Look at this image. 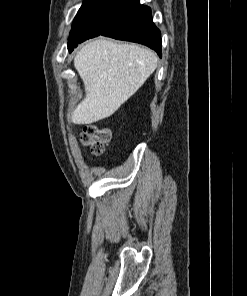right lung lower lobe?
Here are the masks:
<instances>
[{
    "label": "right lung lower lobe",
    "instance_id": "1",
    "mask_svg": "<svg viewBox=\"0 0 247 296\" xmlns=\"http://www.w3.org/2000/svg\"><path fill=\"white\" fill-rule=\"evenodd\" d=\"M87 28L83 41L104 35L146 45L161 56V33L153 23L151 9L139 0H110Z\"/></svg>",
    "mask_w": 247,
    "mask_h": 296
}]
</instances>
